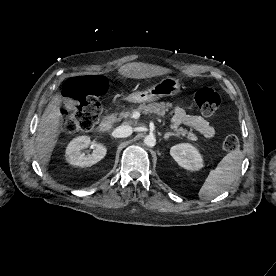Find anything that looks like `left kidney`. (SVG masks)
Masks as SVG:
<instances>
[{
    "label": "left kidney",
    "instance_id": "left-kidney-1",
    "mask_svg": "<svg viewBox=\"0 0 276 276\" xmlns=\"http://www.w3.org/2000/svg\"><path fill=\"white\" fill-rule=\"evenodd\" d=\"M170 155L183 168L197 171L203 167V159L199 151L189 143L174 145L170 149Z\"/></svg>",
    "mask_w": 276,
    "mask_h": 276
}]
</instances>
